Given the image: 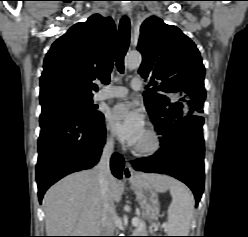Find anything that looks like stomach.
I'll return each mask as SVG.
<instances>
[{
  "mask_svg": "<svg viewBox=\"0 0 248 237\" xmlns=\"http://www.w3.org/2000/svg\"><path fill=\"white\" fill-rule=\"evenodd\" d=\"M131 186L142 208L144 217L149 221L156 219L160 211V204L158 200L159 191L147 180L139 177L131 181ZM169 187L170 184H165V191Z\"/></svg>",
  "mask_w": 248,
  "mask_h": 237,
  "instance_id": "stomach-1",
  "label": "stomach"
}]
</instances>
